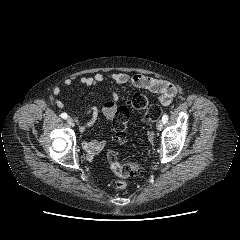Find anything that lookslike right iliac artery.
<instances>
[{
	"mask_svg": "<svg viewBox=\"0 0 240 240\" xmlns=\"http://www.w3.org/2000/svg\"><path fill=\"white\" fill-rule=\"evenodd\" d=\"M61 117H62L63 119H67V118H68V115H67L66 113H62V114H61Z\"/></svg>",
	"mask_w": 240,
	"mask_h": 240,
	"instance_id": "1",
	"label": "right iliac artery"
}]
</instances>
